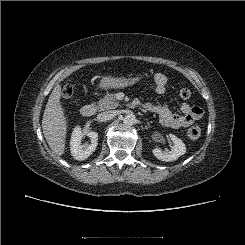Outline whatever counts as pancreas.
Here are the masks:
<instances>
[{
  "label": "pancreas",
  "instance_id": "cf45deb5",
  "mask_svg": "<svg viewBox=\"0 0 245 245\" xmlns=\"http://www.w3.org/2000/svg\"><path fill=\"white\" fill-rule=\"evenodd\" d=\"M120 106L119 101L116 99L115 94L107 93L104 98L100 99L97 103V108L101 111L115 109Z\"/></svg>",
  "mask_w": 245,
  "mask_h": 245
}]
</instances>
